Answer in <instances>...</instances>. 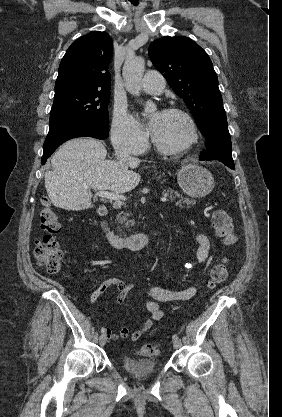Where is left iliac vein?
<instances>
[{
	"mask_svg": "<svg viewBox=\"0 0 282 417\" xmlns=\"http://www.w3.org/2000/svg\"><path fill=\"white\" fill-rule=\"evenodd\" d=\"M181 345H182V343H181V341L178 339V340H174L173 341V347L175 348V349H178V348H180L181 347Z\"/></svg>",
	"mask_w": 282,
	"mask_h": 417,
	"instance_id": "left-iliac-vein-1",
	"label": "left iliac vein"
}]
</instances>
